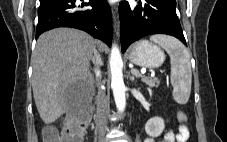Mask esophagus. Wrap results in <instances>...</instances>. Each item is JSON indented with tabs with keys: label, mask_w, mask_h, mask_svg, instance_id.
<instances>
[{
	"label": "esophagus",
	"mask_w": 227,
	"mask_h": 142,
	"mask_svg": "<svg viewBox=\"0 0 227 142\" xmlns=\"http://www.w3.org/2000/svg\"><path fill=\"white\" fill-rule=\"evenodd\" d=\"M112 18H113L115 33L117 36H119V14H118L117 6H113L112 8Z\"/></svg>",
	"instance_id": "obj_1"
}]
</instances>
